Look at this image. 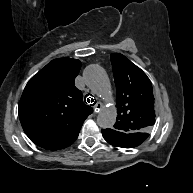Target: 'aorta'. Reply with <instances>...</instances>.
<instances>
[{"label": "aorta", "mask_w": 193, "mask_h": 193, "mask_svg": "<svg viewBox=\"0 0 193 193\" xmlns=\"http://www.w3.org/2000/svg\"><path fill=\"white\" fill-rule=\"evenodd\" d=\"M87 86L106 102L113 101L110 80L105 70L99 65H89L84 70ZM117 110L112 104L105 106L97 116V124L101 128H111L116 122Z\"/></svg>", "instance_id": "obj_1"}]
</instances>
